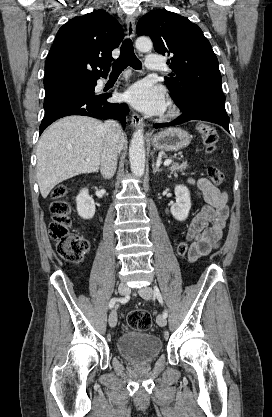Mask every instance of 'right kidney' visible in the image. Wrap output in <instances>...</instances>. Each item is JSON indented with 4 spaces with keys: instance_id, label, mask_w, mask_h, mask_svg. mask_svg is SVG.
Returning a JSON list of instances; mask_svg holds the SVG:
<instances>
[{
    "instance_id": "1",
    "label": "right kidney",
    "mask_w": 272,
    "mask_h": 417,
    "mask_svg": "<svg viewBox=\"0 0 272 417\" xmlns=\"http://www.w3.org/2000/svg\"><path fill=\"white\" fill-rule=\"evenodd\" d=\"M77 212L83 219H91L95 214V203L88 189L83 188L76 197Z\"/></svg>"
}]
</instances>
